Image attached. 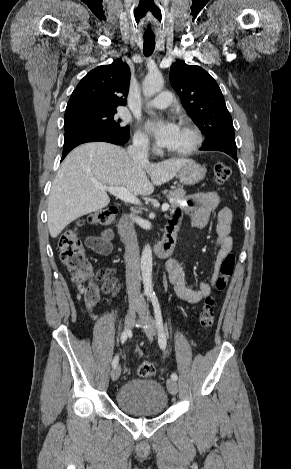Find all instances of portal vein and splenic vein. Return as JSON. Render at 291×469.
<instances>
[{
	"instance_id": "portal-vein-and-splenic-vein-1",
	"label": "portal vein and splenic vein",
	"mask_w": 291,
	"mask_h": 469,
	"mask_svg": "<svg viewBox=\"0 0 291 469\" xmlns=\"http://www.w3.org/2000/svg\"><path fill=\"white\" fill-rule=\"evenodd\" d=\"M95 188L99 190H106L110 194L116 196L117 198L123 200L124 202L135 204V205L140 204V200L137 199L133 194H131L124 187L106 186V185L96 183ZM168 209H169L168 203H165L162 205V211H167Z\"/></svg>"
}]
</instances>
